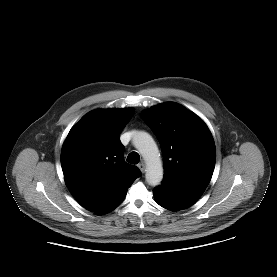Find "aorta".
Instances as JSON below:
<instances>
[{"label": "aorta", "mask_w": 277, "mask_h": 277, "mask_svg": "<svg viewBox=\"0 0 277 277\" xmlns=\"http://www.w3.org/2000/svg\"><path fill=\"white\" fill-rule=\"evenodd\" d=\"M133 144L146 163L147 183L151 186L159 185L163 179V166L158 147L152 136L147 132L139 131L133 137Z\"/></svg>", "instance_id": "762f6f07"}]
</instances>
